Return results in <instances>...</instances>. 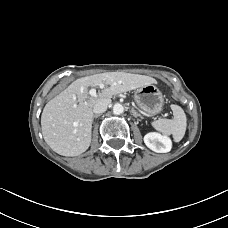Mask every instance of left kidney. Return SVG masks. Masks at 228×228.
<instances>
[{
    "mask_svg": "<svg viewBox=\"0 0 228 228\" xmlns=\"http://www.w3.org/2000/svg\"><path fill=\"white\" fill-rule=\"evenodd\" d=\"M144 143L148 148L157 153H167L172 148V142L167 136L150 132L144 136Z\"/></svg>",
    "mask_w": 228,
    "mask_h": 228,
    "instance_id": "1",
    "label": "left kidney"
}]
</instances>
